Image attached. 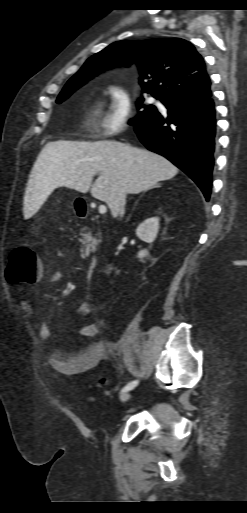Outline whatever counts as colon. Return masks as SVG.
Returning a JSON list of instances; mask_svg holds the SVG:
<instances>
[{
    "mask_svg": "<svg viewBox=\"0 0 247 513\" xmlns=\"http://www.w3.org/2000/svg\"><path fill=\"white\" fill-rule=\"evenodd\" d=\"M42 272L41 263L30 245L21 244L11 251L5 270L6 279L10 284H33Z\"/></svg>",
    "mask_w": 247,
    "mask_h": 513,
    "instance_id": "1",
    "label": "colon"
}]
</instances>
